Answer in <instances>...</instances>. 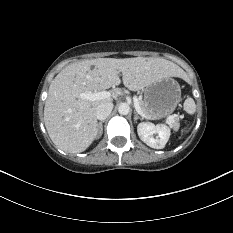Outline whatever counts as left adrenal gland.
<instances>
[{
  "instance_id": "a2214340",
  "label": "left adrenal gland",
  "mask_w": 233,
  "mask_h": 233,
  "mask_svg": "<svg viewBox=\"0 0 233 233\" xmlns=\"http://www.w3.org/2000/svg\"><path fill=\"white\" fill-rule=\"evenodd\" d=\"M138 119L142 120V118L137 114V112L134 111V122H136Z\"/></svg>"
}]
</instances>
